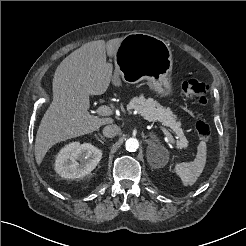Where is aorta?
<instances>
[{"instance_id":"762f6f07","label":"aorta","mask_w":246,"mask_h":246,"mask_svg":"<svg viewBox=\"0 0 246 246\" xmlns=\"http://www.w3.org/2000/svg\"><path fill=\"white\" fill-rule=\"evenodd\" d=\"M126 150L129 152H135L139 148V142L136 138H129L125 142Z\"/></svg>"}]
</instances>
